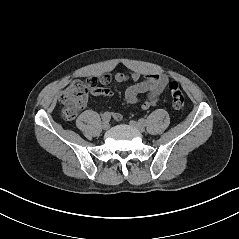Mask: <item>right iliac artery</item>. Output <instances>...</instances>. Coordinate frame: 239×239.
<instances>
[{"mask_svg":"<svg viewBox=\"0 0 239 239\" xmlns=\"http://www.w3.org/2000/svg\"><path fill=\"white\" fill-rule=\"evenodd\" d=\"M111 118V113L110 112H105L103 115H102V120L103 121H109Z\"/></svg>","mask_w":239,"mask_h":239,"instance_id":"obj_1","label":"right iliac artery"}]
</instances>
